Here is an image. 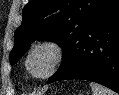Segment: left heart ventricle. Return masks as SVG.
<instances>
[{"label": "left heart ventricle", "instance_id": "left-heart-ventricle-1", "mask_svg": "<svg viewBox=\"0 0 119 95\" xmlns=\"http://www.w3.org/2000/svg\"><path fill=\"white\" fill-rule=\"evenodd\" d=\"M53 60V52L50 49H39L33 53L29 60V68L34 74L45 73Z\"/></svg>", "mask_w": 119, "mask_h": 95}]
</instances>
